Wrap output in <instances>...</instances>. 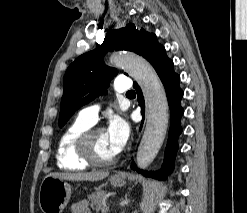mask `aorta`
<instances>
[{"instance_id":"1","label":"aorta","mask_w":247,"mask_h":213,"mask_svg":"<svg viewBox=\"0 0 247 213\" xmlns=\"http://www.w3.org/2000/svg\"><path fill=\"white\" fill-rule=\"evenodd\" d=\"M111 61L137 81L144 95L147 122L136 157L138 167L144 169L153 162L166 136L169 121L166 93L155 70L142 57L131 52H118L111 56Z\"/></svg>"}]
</instances>
